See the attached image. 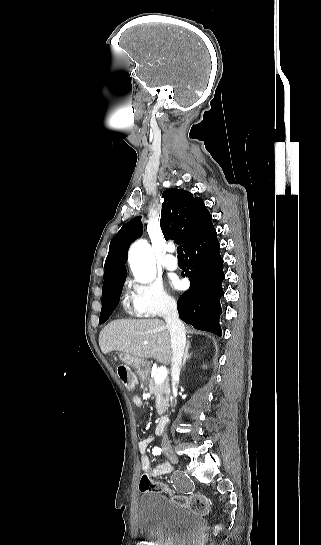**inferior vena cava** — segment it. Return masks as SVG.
<instances>
[{
    "label": "inferior vena cava",
    "instance_id": "602c4592",
    "mask_svg": "<svg viewBox=\"0 0 321 545\" xmlns=\"http://www.w3.org/2000/svg\"><path fill=\"white\" fill-rule=\"evenodd\" d=\"M163 315L167 323V327H169L171 335L172 391L173 393H176L178 387V377L180 375L182 359L184 357L186 347L185 327L178 317L177 305L174 299H166L163 309ZM162 448L164 450H169L171 448V443L168 439L167 433H163Z\"/></svg>",
    "mask_w": 321,
    "mask_h": 545
}]
</instances>
